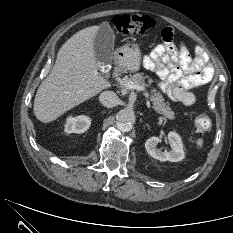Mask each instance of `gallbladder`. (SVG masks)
Here are the masks:
<instances>
[{"mask_svg": "<svg viewBox=\"0 0 233 233\" xmlns=\"http://www.w3.org/2000/svg\"><path fill=\"white\" fill-rule=\"evenodd\" d=\"M115 34L111 26L104 22L100 24L94 38V53L98 61L106 63L109 61L114 52Z\"/></svg>", "mask_w": 233, "mask_h": 233, "instance_id": "1", "label": "gallbladder"}]
</instances>
